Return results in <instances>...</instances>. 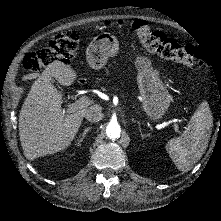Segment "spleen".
Listing matches in <instances>:
<instances>
[{
    "mask_svg": "<svg viewBox=\"0 0 221 221\" xmlns=\"http://www.w3.org/2000/svg\"><path fill=\"white\" fill-rule=\"evenodd\" d=\"M213 128V115L207 101L202 102L192 115L181 136L167 144L169 155L181 171L190 170L205 153Z\"/></svg>",
    "mask_w": 221,
    "mask_h": 221,
    "instance_id": "3e777b00",
    "label": "spleen"
}]
</instances>
